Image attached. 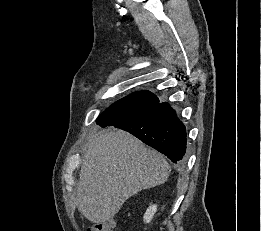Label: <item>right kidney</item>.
I'll return each instance as SVG.
<instances>
[{
    "label": "right kidney",
    "instance_id": "1",
    "mask_svg": "<svg viewBox=\"0 0 261 231\" xmlns=\"http://www.w3.org/2000/svg\"><path fill=\"white\" fill-rule=\"evenodd\" d=\"M156 210H157V205L149 206V208L146 210L143 217L145 223H149L153 219Z\"/></svg>",
    "mask_w": 261,
    "mask_h": 231
}]
</instances>
